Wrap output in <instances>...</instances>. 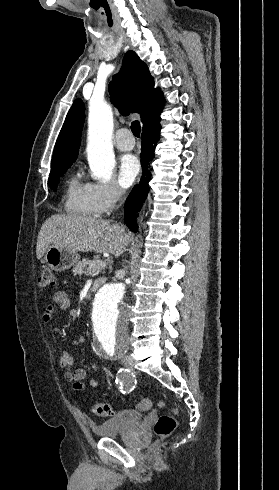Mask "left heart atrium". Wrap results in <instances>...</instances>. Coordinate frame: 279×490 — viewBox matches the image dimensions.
I'll return each instance as SVG.
<instances>
[{
  "mask_svg": "<svg viewBox=\"0 0 279 490\" xmlns=\"http://www.w3.org/2000/svg\"><path fill=\"white\" fill-rule=\"evenodd\" d=\"M141 165L138 158L132 154L121 157L119 163V181L123 186H130L140 173Z\"/></svg>",
  "mask_w": 279,
  "mask_h": 490,
  "instance_id": "39dd6f15",
  "label": "left heart atrium"
}]
</instances>
